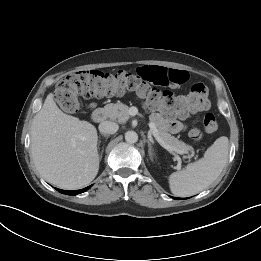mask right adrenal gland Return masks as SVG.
<instances>
[{"mask_svg":"<svg viewBox=\"0 0 261 261\" xmlns=\"http://www.w3.org/2000/svg\"><path fill=\"white\" fill-rule=\"evenodd\" d=\"M102 136H104L105 138H106V140L108 139V135H102ZM100 142L101 141H99L98 143L100 144ZM103 151H104V148L102 149V151H101V154H100V159L102 158V155H103Z\"/></svg>","mask_w":261,"mask_h":261,"instance_id":"1","label":"right adrenal gland"}]
</instances>
